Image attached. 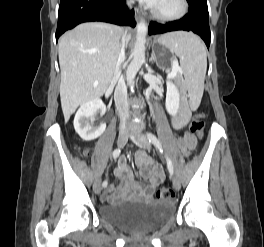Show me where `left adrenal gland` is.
<instances>
[{
  "label": "left adrenal gland",
  "mask_w": 264,
  "mask_h": 247,
  "mask_svg": "<svg viewBox=\"0 0 264 247\" xmlns=\"http://www.w3.org/2000/svg\"><path fill=\"white\" fill-rule=\"evenodd\" d=\"M155 62L156 61V57H155V53H154V51H152V54H151V57H150V59H149V62Z\"/></svg>",
  "instance_id": "obj_1"
}]
</instances>
